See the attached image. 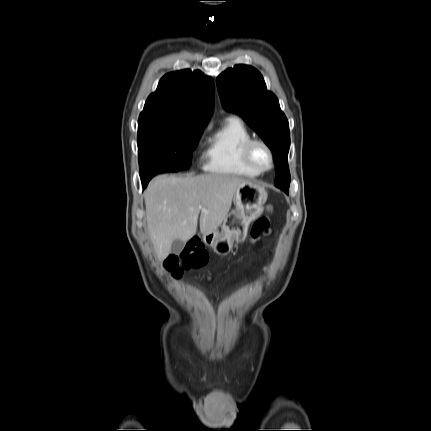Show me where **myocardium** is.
<instances>
[{"label":"myocardium","instance_id":"obj_1","mask_svg":"<svg viewBox=\"0 0 431 431\" xmlns=\"http://www.w3.org/2000/svg\"><path fill=\"white\" fill-rule=\"evenodd\" d=\"M255 146H262L269 155V164L266 167L259 166L252 157V151ZM243 161L252 169L259 173H264L271 170L274 167V153L271 147L261 139H250L247 141L242 149Z\"/></svg>","mask_w":431,"mask_h":431}]
</instances>
